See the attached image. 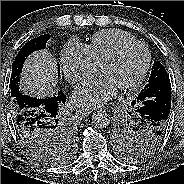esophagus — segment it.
<instances>
[{
	"label": "esophagus",
	"instance_id": "esophagus-1",
	"mask_svg": "<svg viewBox=\"0 0 184 184\" xmlns=\"http://www.w3.org/2000/svg\"><path fill=\"white\" fill-rule=\"evenodd\" d=\"M79 110L82 113V115H85V116L89 115L92 111H94L93 109H88V108H81Z\"/></svg>",
	"mask_w": 184,
	"mask_h": 184
}]
</instances>
